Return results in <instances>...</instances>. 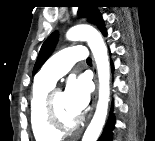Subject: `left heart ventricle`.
<instances>
[{
    "mask_svg": "<svg viewBox=\"0 0 155 141\" xmlns=\"http://www.w3.org/2000/svg\"><path fill=\"white\" fill-rule=\"evenodd\" d=\"M54 105L63 123L71 124L77 119V116L69 109L64 93L60 91L56 93L54 96Z\"/></svg>",
    "mask_w": 155,
    "mask_h": 141,
    "instance_id": "left-heart-ventricle-1",
    "label": "left heart ventricle"
}]
</instances>
